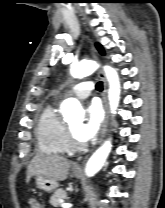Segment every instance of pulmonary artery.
<instances>
[{
	"label": "pulmonary artery",
	"instance_id": "1",
	"mask_svg": "<svg viewBox=\"0 0 165 208\" xmlns=\"http://www.w3.org/2000/svg\"><path fill=\"white\" fill-rule=\"evenodd\" d=\"M93 88L94 84L92 82H81L73 87L72 93L75 97L84 99L90 96Z\"/></svg>",
	"mask_w": 165,
	"mask_h": 208
}]
</instances>
